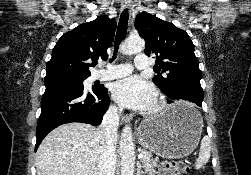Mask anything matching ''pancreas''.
I'll use <instances>...</instances> for the list:
<instances>
[{"label":"pancreas","instance_id":"cf45deb5","mask_svg":"<svg viewBox=\"0 0 251 175\" xmlns=\"http://www.w3.org/2000/svg\"><path fill=\"white\" fill-rule=\"evenodd\" d=\"M140 153H143L141 161L142 167H145L146 173H148V175H155V169L157 167V161H159V157H155V159H152L151 151H146V149H142Z\"/></svg>","mask_w":251,"mask_h":175}]
</instances>
